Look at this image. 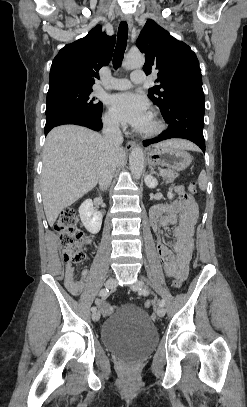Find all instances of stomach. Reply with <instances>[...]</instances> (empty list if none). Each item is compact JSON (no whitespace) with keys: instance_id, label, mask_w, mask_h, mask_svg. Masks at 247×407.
Returning a JSON list of instances; mask_svg holds the SVG:
<instances>
[{"instance_id":"stomach-1","label":"stomach","mask_w":247,"mask_h":407,"mask_svg":"<svg viewBox=\"0 0 247 407\" xmlns=\"http://www.w3.org/2000/svg\"><path fill=\"white\" fill-rule=\"evenodd\" d=\"M147 161L152 166H161L170 170L182 171L191 164L192 157L184 149L169 145H156L148 150Z\"/></svg>"}]
</instances>
